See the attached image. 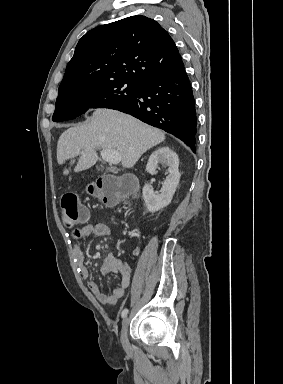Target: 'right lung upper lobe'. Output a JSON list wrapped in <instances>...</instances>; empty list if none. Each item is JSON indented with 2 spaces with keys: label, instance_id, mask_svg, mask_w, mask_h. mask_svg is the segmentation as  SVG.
<instances>
[{
  "label": "right lung upper lobe",
  "instance_id": "cb5924a9",
  "mask_svg": "<svg viewBox=\"0 0 283 384\" xmlns=\"http://www.w3.org/2000/svg\"><path fill=\"white\" fill-rule=\"evenodd\" d=\"M183 67L173 39L158 22L131 16L88 31L59 87L118 79L142 84Z\"/></svg>",
  "mask_w": 283,
  "mask_h": 384
}]
</instances>
